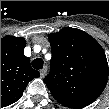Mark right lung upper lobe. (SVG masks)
<instances>
[{
  "label": "right lung upper lobe",
  "mask_w": 109,
  "mask_h": 109,
  "mask_svg": "<svg viewBox=\"0 0 109 109\" xmlns=\"http://www.w3.org/2000/svg\"><path fill=\"white\" fill-rule=\"evenodd\" d=\"M25 46L23 37L6 36L1 39V107L19 100L27 84L40 76L24 55Z\"/></svg>",
  "instance_id": "1"
}]
</instances>
